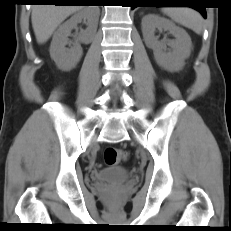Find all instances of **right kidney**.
<instances>
[{
	"label": "right kidney",
	"instance_id": "1",
	"mask_svg": "<svg viewBox=\"0 0 231 231\" xmlns=\"http://www.w3.org/2000/svg\"><path fill=\"white\" fill-rule=\"evenodd\" d=\"M98 18V8L84 7L63 23L55 32L50 46V55L60 69L70 70L79 62L83 53L80 43L88 44L93 40L97 31ZM82 21L87 25V28L82 30L76 37L75 42L72 43L68 39L71 30L76 28L77 24ZM68 44H73V46L66 48Z\"/></svg>",
	"mask_w": 231,
	"mask_h": 231
}]
</instances>
